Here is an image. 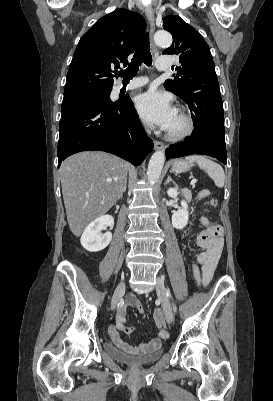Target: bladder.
I'll list each match as a JSON object with an SVG mask.
<instances>
[{"instance_id": "obj_1", "label": "bladder", "mask_w": 273, "mask_h": 401, "mask_svg": "<svg viewBox=\"0 0 273 401\" xmlns=\"http://www.w3.org/2000/svg\"><path fill=\"white\" fill-rule=\"evenodd\" d=\"M104 350L112 359L131 367H141L151 364L157 361L163 353V349L159 347L156 350L142 356H130L119 350L112 340H107L104 343Z\"/></svg>"}]
</instances>
